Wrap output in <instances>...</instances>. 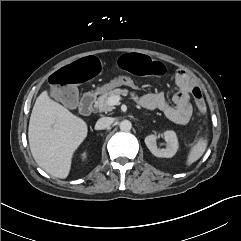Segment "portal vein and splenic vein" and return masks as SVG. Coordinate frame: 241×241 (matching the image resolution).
<instances>
[{
    "mask_svg": "<svg viewBox=\"0 0 241 241\" xmlns=\"http://www.w3.org/2000/svg\"><path fill=\"white\" fill-rule=\"evenodd\" d=\"M120 100H121L120 96H111L110 98H108L107 104L109 106L118 105Z\"/></svg>",
    "mask_w": 241,
    "mask_h": 241,
    "instance_id": "18ae733b",
    "label": "portal vein and splenic vein"
}]
</instances>
